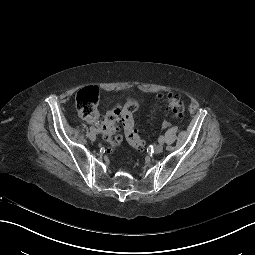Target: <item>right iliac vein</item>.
<instances>
[{
    "label": "right iliac vein",
    "mask_w": 255,
    "mask_h": 255,
    "mask_svg": "<svg viewBox=\"0 0 255 255\" xmlns=\"http://www.w3.org/2000/svg\"><path fill=\"white\" fill-rule=\"evenodd\" d=\"M89 139L91 141H95L96 140V133L95 132H90L89 133Z\"/></svg>",
    "instance_id": "63e3f726"
}]
</instances>
